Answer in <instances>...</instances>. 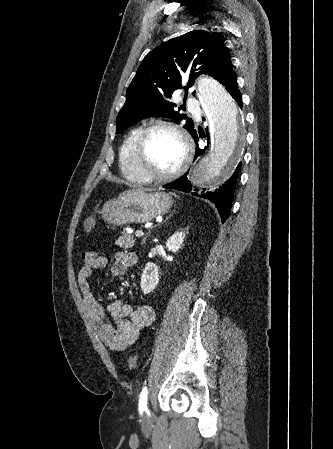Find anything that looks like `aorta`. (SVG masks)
I'll return each mask as SVG.
<instances>
[{
  "label": "aorta",
  "mask_w": 333,
  "mask_h": 449,
  "mask_svg": "<svg viewBox=\"0 0 333 449\" xmlns=\"http://www.w3.org/2000/svg\"><path fill=\"white\" fill-rule=\"evenodd\" d=\"M198 97L211 122L212 147L193 166L190 181L197 189L219 187L243 145L241 115L233 97L210 77L198 80Z\"/></svg>",
  "instance_id": "762f6f07"
}]
</instances>
